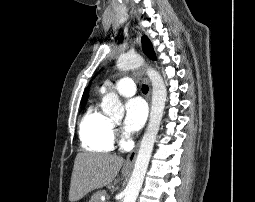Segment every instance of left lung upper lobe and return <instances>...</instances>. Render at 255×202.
I'll return each instance as SVG.
<instances>
[{"instance_id": "1", "label": "left lung upper lobe", "mask_w": 255, "mask_h": 202, "mask_svg": "<svg viewBox=\"0 0 255 202\" xmlns=\"http://www.w3.org/2000/svg\"><path fill=\"white\" fill-rule=\"evenodd\" d=\"M142 47H143V51L144 53L150 58L155 60L156 56L154 53V50L152 48V44L150 42V40L144 35L142 37Z\"/></svg>"}]
</instances>
